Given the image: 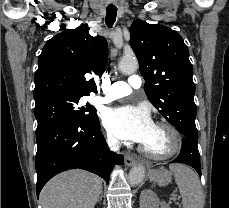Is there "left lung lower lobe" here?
Masks as SVG:
<instances>
[{
  "label": "left lung lower lobe",
  "instance_id": "obj_1",
  "mask_svg": "<svg viewBox=\"0 0 229 208\" xmlns=\"http://www.w3.org/2000/svg\"><path fill=\"white\" fill-rule=\"evenodd\" d=\"M197 130L190 128L185 131L182 138V148L180 154L172 162L184 163L193 167L201 177L200 154L197 147Z\"/></svg>",
  "mask_w": 229,
  "mask_h": 208
}]
</instances>
